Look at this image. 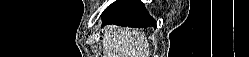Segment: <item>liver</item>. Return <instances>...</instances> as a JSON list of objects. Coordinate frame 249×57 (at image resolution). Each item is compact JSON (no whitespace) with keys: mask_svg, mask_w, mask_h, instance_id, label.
Listing matches in <instances>:
<instances>
[{"mask_svg":"<svg viewBox=\"0 0 249 57\" xmlns=\"http://www.w3.org/2000/svg\"><path fill=\"white\" fill-rule=\"evenodd\" d=\"M104 57H148V41L137 29L110 26L103 35Z\"/></svg>","mask_w":249,"mask_h":57,"instance_id":"liver-1","label":"liver"}]
</instances>
